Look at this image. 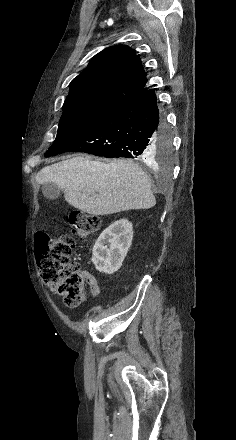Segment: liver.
<instances>
[{
	"instance_id": "liver-1",
	"label": "liver",
	"mask_w": 236,
	"mask_h": 440,
	"mask_svg": "<svg viewBox=\"0 0 236 440\" xmlns=\"http://www.w3.org/2000/svg\"><path fill=\"white\" fill-rule=\"evenodd\" d=\"M36 182L54 183L71 206L91 215L150 209L156 204L147 174L124 159L104 163L73 157L42 168Z\"/></svg>"
}]
</instances>
